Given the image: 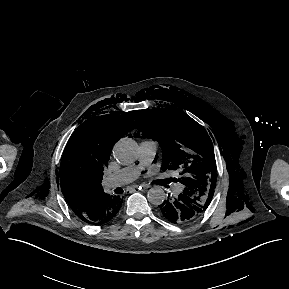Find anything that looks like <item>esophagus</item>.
<instances>
[{"mask_svg": "<svg viewBox=\"0 0 289 289\" xmlns=\"http://www.w3.org/2000/svg\"><path fill=\"white\" fill-rule=\"evenodd\" d=\"M150 188V185L149 184H142L140 186H133V189H149Z\"/></svg>", "mask_w": 289, "mask_h": 289, "instance_id": "esophagus-1", "label": "esophagus"}]
</instances>
